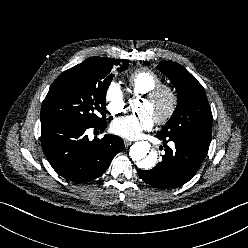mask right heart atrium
I'll return each mask as SVG.
<instances>
[{"label": "right heart atrium", "mask_w": 248, "mask_h": 248, "mask_svg": "<svg viewBox=\"0 0 248 248\" xmlns=\"http://www.w3.org/2000/svg\"><path fill=\"white\" fill-rule=\"evenodd\" d=\"M105 99L107 103V109L111 114L117 115L125 110V95L117 83L111 82L108 85L105 93Z\"/></svg>", "instance_id": "1"}]
</instances>
